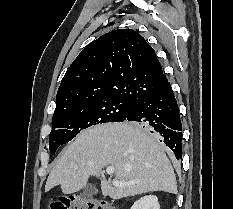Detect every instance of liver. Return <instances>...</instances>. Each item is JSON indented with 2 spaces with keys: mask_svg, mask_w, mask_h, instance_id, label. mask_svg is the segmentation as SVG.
I'll return each instance as SVG.
<instances>
[{
  "mask_svg": "<svg viewBox=\"0 0 233 209\" xmlns=\"http://www.w3.org/2000/svg\"><path fill=\"white\" fill-rule=\"evenodd\" d=\"M113 167L114 186L104 177L101 192L118 200L154 191L177 193L176 177L156 139L132 123H107L82 131L61 153L46 181L45 191L60 185L64 194L78 192L90 176Z\"/></svg>",
  "mask_w": 233,
  "mask_h": 209,
  "instance_id": "liver-1",
  "label": "liver"
}]
</instances>
